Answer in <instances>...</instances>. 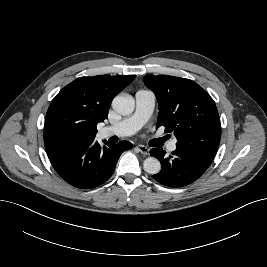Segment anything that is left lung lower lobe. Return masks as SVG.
I'll use <instances>...</instances> for the list:
<instances>
[{
    "mask_svg": "<svg viewBox=\"0 0 267 267\" xmlns=\"http://www.w3.org/2000/svg\"><path fill=\"white\" fill-rule=\"evenodd\" d=\"M217 150L205 147L176 145L166 156L162 148L151 149L150 154L160 160L162 169L153 178L169 187H183L196 181L210 166Z\"/></svg>",
    "mask_w": 267,
    "mask_h": 267,
    "instance_id": "1",
    "label": "left lung lower lobe"
}]
</instances>
